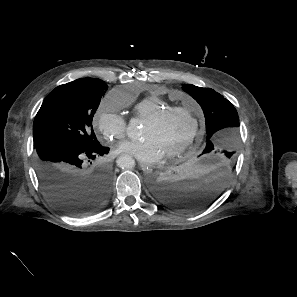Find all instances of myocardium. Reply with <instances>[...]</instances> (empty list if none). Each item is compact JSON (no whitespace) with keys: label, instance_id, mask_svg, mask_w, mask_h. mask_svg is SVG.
<instances>
[{"label":"myocardium","instance_id":"f54148a6","mask_svg":"<svg viewBox=\"0 0 297 297\" xmlns=\"http://www.w3.org/2000/svg\"><path fill=\"white\" fill-rule=\"evenodd\" d=\"M176 113H181V114L187 115L191 119V121L193 123V127H192L191 133L188 136V138L180 146H178L164 154L165 158H167V159L174 158V157L181 155L196 141V139L200 133V124H199V120H198V116H197L196 112L193 111L192 109L187 108V107H168V108L161 110L157 114L149 117L148 119H146V122L151 123V124H156V123L161 122L167 116H170V115H173Z\"/></svg>","mask_w":297,"mask_h":297}]
</instances>
